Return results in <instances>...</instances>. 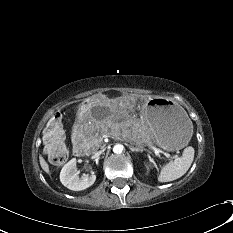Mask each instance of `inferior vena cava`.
<instances>
[{"mask_svg":"<svg viewBox=\"0 0 233 233\" xmlns=\"http://www.w3.org/2000/svg\"><path fill=\"white\" fill-rule=\"evenodd\" d=\"M103 151H104V150L97 151V152L95 153V156L101 155V154L103 153Z\"/></svg>","mask_w":233,"mask_h":233,"instance_id":"602c4592","label":"inferior vena cava"}]
</instances>
